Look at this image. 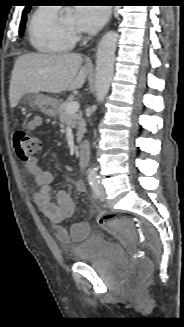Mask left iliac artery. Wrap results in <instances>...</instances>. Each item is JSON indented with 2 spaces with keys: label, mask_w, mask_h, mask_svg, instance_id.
Returning a JSON list of instances; mask_svg holds the SVG:
<instances>
[{
  "label": "left iliac artery",
  "mask_w": 184,
  "mask_h": 327,
  "mask_svg": "<svg viewBox=\"0 0 184 327\" xmlns=\"http://www.w3.org/2000/svg\"><path fill=\"white\" fill-rule=\"evenodd\" d=\"M90 185H91V188L93 191V196L95 198H98V196H99V180L95 179Z\"/></svg>",
  "instance_id": "obj_1"
}]
</instances>
